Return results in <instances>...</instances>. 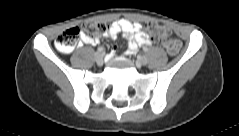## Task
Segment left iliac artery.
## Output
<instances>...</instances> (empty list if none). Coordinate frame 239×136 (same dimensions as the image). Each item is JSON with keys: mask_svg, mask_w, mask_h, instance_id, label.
<instances>
[{"mask_svg": "<svg viewBox=\"0 0 239 136\" xmlns=\"http://www.w3.org/2000/svg\"><path fill=\"white\" fill-rule=\"evenodd\" d=\"M143 52H147V48H143Z\"/></svg>", "mask_w": 239, "mask_h": 136, "instance_id": "obj_1", "label": "left iliac artery"}]
</instances>
